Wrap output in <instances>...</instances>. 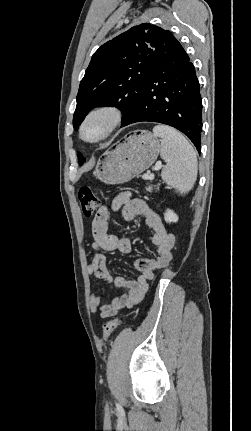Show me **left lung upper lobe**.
Here are the masks:
<instances>
[{
	"mask_svg": "<svg viewBox=\"0 0 251 431\" xmlns=\"http://www.w3.org/2000/svg\"><path fill=\"white\" fill-rule=\"evenodd\" d=\"M171 36L168 30L143 23L103 44L93 54L80 82L74 129L98 106L119 108L124 123L141 94L156 52ZM78 161L82 165L85 158L79 154Z\"/></svg>",
	"mask_w": 251,
	"mask_h": 431,
	"instance_id": "5c2ea615",
	"label": "left lung upper lobe"
}]
</instances>
